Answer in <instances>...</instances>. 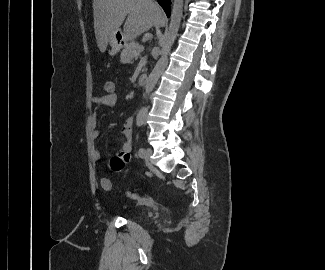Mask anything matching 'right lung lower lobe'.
<instances>
[{
  "label": "right lung lower lobe",
  "mask_w": 325,
  "mask_h": 270,
  "mask_svg": "<svg viewBox=\"0 0 325 270\" xmlns=\"http://www.w3.org/2000/svg\"><path fill=\"white\" fill-rule=\"evenodd\" d=\"M159 4L163 7L167 17L170 16V0H158Z\"/></svg>",
  "instance_id": "1"
}]
</instances>
